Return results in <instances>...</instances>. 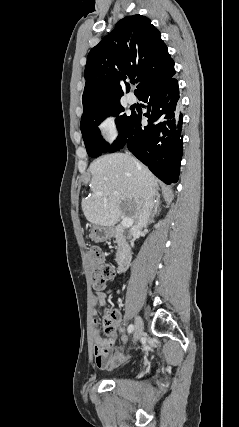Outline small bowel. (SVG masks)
Returning a JSON list of instances; mask_svg holds the SVG:
<instances>
[{
	"instance_id": "c3829d8e",
	"label": "small bowel",
	"mask_w": 239,
	"mask_h": 427,
	"mask_svg": "<svg viewBox=\"0 0 239 427\" xmlns=\"http://www.w3.org/2000/svg\"><path fill=\"white\" fill-rule=\"evenodd\" d=\"M112 290H108L106 292L99 291L93 295V303L95 306H106V297ZM113 319V324L115 330L121 334L122 342H127V336L125 334L124 328L121 325L120 314L118 311H114L111 314ZM94 355H95V363L100 369H112L115 368L122 363H124L127 359V355L121 353L113 354V348L116 344V336L113 334L108 339H103L101 337L98 320L94 318Z\"/></svg>"
}]
</instances>
